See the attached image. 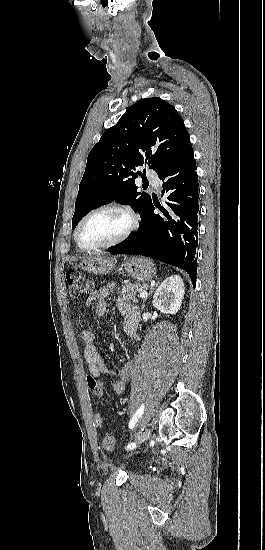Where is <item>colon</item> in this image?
<instances>
[{
    "instance_id": "5ec220e1",
    "label": "colon",
    "mask_w": 265,
    "mask_h": 550,
    "mask_svg": "<svg viewBox=\"0 0 265 550\" xmlns=\"http://www.w3.org/2000/svg\"><path fill=\"white\" fill-rule=\"evenodd\" d=\"M66 281L68 284L69 294L72 297H80L91 290V284L88 278L81 274L77 270H69L66 273ZM87 384L91 393L98 397L101 393V385L99 381L92 377L87 376ZM96 420L100 423L101 417L96 416ZM115 445V439L111 435H107L103 438L102 446L106 449H112Z\"/></svg>"
}]
</instances>
